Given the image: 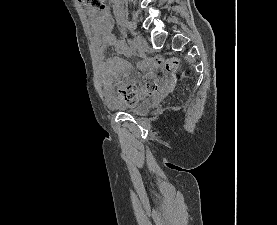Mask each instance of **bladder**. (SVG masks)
<instances>
[{
    "label": "bladder",
    "instance_id": "31cf9c89",
    "mask_svg": "<svg viewBox=\"0 0 277 225\" xmlns=\"http://www.w3.org/2000/svg\"><path fill=\"white\" fill-rule=\"evenodd\" d=\"M152 107V102L149 97H146L140 101H137L133 104H127V103H117L111 108L116 111L121 112H129L133 114H145L150 111Z\"/></svg>",
    "mask_w": 277,
    "mask_h": 225
}]
</instances>
